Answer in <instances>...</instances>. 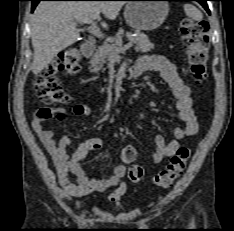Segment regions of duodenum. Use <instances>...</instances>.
<instances>
[{
	"label": "duodenum",
	"mask_w": 234,
	"mask_h": 231,
	"mask_svg": "<svg viewBox=\"0 0 234 231\" xmlns=\"http://www.w3.org/2000/svg\"><path fill=\"white\" fill-rule=\"evenodd\" d=\"M95 51H96V43L94 41H87L82 46V54L86 58L92 57ZM144 71H145V68H143L142 66L136 65L132 72V78L137 79Z\"/></svg>",
	"instance_id": "duodenum-1"
}]
</instances>
